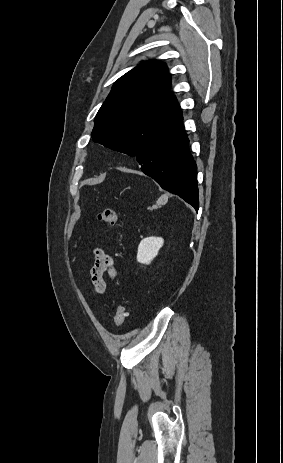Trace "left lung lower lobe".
I'll return each mask as SVG.
<instances>
[{"instance_id": "left-lung-lower-lobe-1", "label": "left lung lower lobe", "mask_w": 283, "mask_h": 463, "mask_svg": "<svg viewBox=\"0 0 283 463\" xmlns=\"http://www.w3.org/2000/svg\"><path fill=\"white\" fill-rule=\"evenodd\" d=\"M181 114L160 129L135 158L144 174L198 211L197 166L189 152Z\"/></svg>"}]
</instances>
